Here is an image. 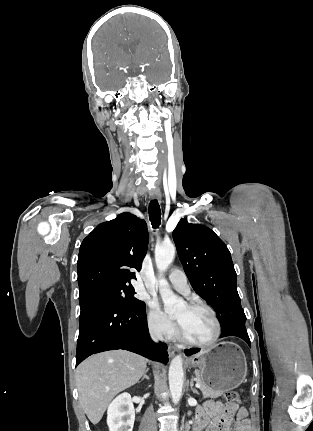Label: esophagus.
Masks as SVG:
<instances>
[{
  "label": "esophagus",
  "mask_w": 313,
  "mask_h": 431,
  "mask_svg": "<svg viewBox=\"0 0 313 431\" xmlns=\"http://www.w3.org/2000/svg\"><path fill=\"white\" fill-rule=\"evenodd\" d=\"M149 197H150L151 199H159L160 194H159V192H158V191H156V190H151V191L149 192ZM168 352H169V354H170L171 356H174V355H176V354H178V353L180 352V349H179L177 346L169 345V347H168Z\"/></svg>",
  "instance_id": "esophagus-1"
}]
</instances>
